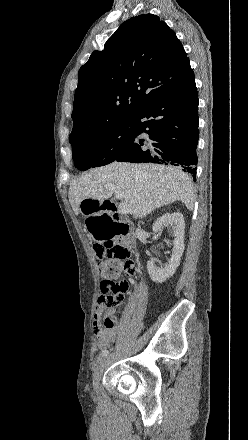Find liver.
Wrapping results in <instances>:
<instances>
[{"mask_svg":"<svg viewBox=\"0 0 248 440\" xmlns=\"http://www.w3.org/2000/svg\"><path fill=\"white\" fill-rule=\"evenodd\" d=\"M108 186L120 190L130 213L139 218L175 201H181L189 210L194 206L191 178L178 168L113 162L92 169L71 183L69 202L74 213L79 214L80 204L85 199L103 202L110 198L112 191Z\"/></svg>","mask_w":248,"mask_h":440,"instance_id":"liver-1","label":"liver"}]
</instances>
